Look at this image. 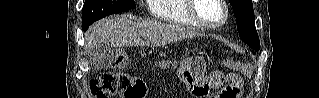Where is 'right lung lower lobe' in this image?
Segmentation results:
<instances>
[{
    "label": "right lung lower lobe",
    "instance_id": "98d812e1",
    "mask_svg": "<svg viewBox=\"0 0 319 98\" xmlns=\"http://www.w3.org/2000/svg\"><path fill=\"white\" fill-rule=\"evenodd\" d=\"M88 27H89V25L88 26H84L83 30L86 31L88 29Z\"/></svg>",
    "mask_w": 319,
    "mask_h": 98
}]
</instances>
